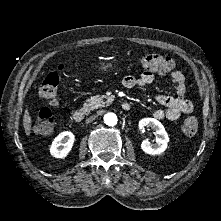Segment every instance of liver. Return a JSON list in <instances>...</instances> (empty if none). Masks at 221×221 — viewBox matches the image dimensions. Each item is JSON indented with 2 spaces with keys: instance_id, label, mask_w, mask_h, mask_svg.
<instances>
[{
  "instance_id": "6515ba94",
  "label": "liver",
  "mask_w": 221,
  "mask_h": 221,
  "mask_svg": "<svg viewBox=\"0 0 221 221\" xmlns=\"http://www.w3.org/2000/svg\"><path fill=\"white\" fill-rule=\"evenodd\" d=\"M31 123H32V119L28 111V108H26L24 115H23V127L27 136L31 134Z\"/></svg>"
}]
</instances>
